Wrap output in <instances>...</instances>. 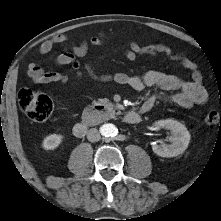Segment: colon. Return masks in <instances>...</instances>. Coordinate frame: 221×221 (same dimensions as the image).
Wrapping results in <instances>:
<instances>
[{
	"mask_svg": "<svg viewBox=\"0 0 221 221\" xmlns=\"http://www.w3.org/2000/svg\"><path fill=\"white\" fill-rule=\"evenodd\" d=\"M18 101L22 112L33 122L46 121L53 110V103L48 96L30 89H22ZM205 121L209 126L221 125V115L212 110L206 115Z\"/></svg>",
	"mask_w": 221,
	"mask_h": 221,
	"instance_id": "obj_1",
	"label": "colon"
}]
</instances>
